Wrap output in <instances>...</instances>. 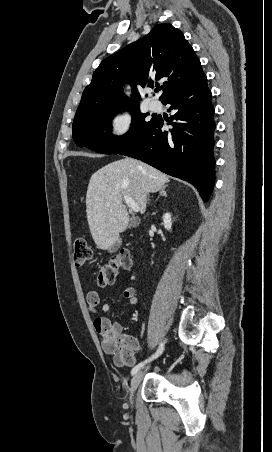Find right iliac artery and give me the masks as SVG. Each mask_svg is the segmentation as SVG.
I'll list each match as a JSON object with an SVG mask.
<instances>
[{
  "label": "right iliac artery",
  "instance_id": "82829eb1",
  "mask_svg": "<svg viewBox=\"0 0 272 452\" xmlns=\"http://www.w3.org/2000/svg\"><path fill=\"white\" fill-rule=\"evenodd\" d=\"M163 350H164V343L161 342V343H160V346H159V348H158V350L156 351V353H155L154 355H152L150 358L146 359L145 361H143V362L137 364V365L132 369L131 374H132V375L136 374V373H137V372H138V371H139V370H140L147 362H149V361H151V360L157 358L159 355H161L162 352H163Z\"/></svg>",
  "mask_w": 272,
  "mask_h": 452
}]
</instances>
